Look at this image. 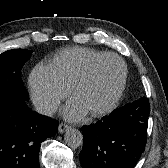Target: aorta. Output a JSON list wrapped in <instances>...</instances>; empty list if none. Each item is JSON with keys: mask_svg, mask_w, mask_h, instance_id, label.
Instances as JSON below:
<instances>
[{"mask_svg": "<svg viewBox=\"0 0 168 168\" xmlns=\"http://www.w3.org/2000/svg\"><path fill=\"white\" fill-rule=\"evenodd\" d=\"M65 143L71 148L79 147L83 142V135L78 129H69L65 134Z\"/></svg>", "mask_w": 168, "mask_h": 168, "instance_id": "obj_1", "label": "aorta"}]
</instances>
